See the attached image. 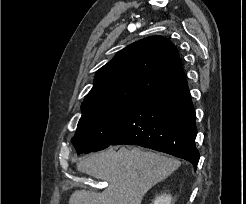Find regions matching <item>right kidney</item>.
Masks as SVG:
<instances>
[{
  "mask_svg": "<svg viewBox=\"0 0 246 204\" xmlns=\"http://www.w3.org/2000/svg\"><path fill=\"white\" fill-rule=\"evenodd\" d=\"M171 201H172L171 195L163 194V195L158 196L154 200L153 204H171Z\"/></svg>",
  "mask_w": 246,
  "mask_h": 204,
  "instance_id": "obj_1",
  "label": "right kidney"
}]
</instances>
